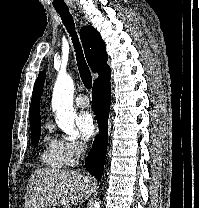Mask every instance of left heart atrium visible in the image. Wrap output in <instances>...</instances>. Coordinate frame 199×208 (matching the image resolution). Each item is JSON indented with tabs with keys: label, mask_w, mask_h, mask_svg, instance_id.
I'll return each instance as SVG.
<instances>
[{
	"label": "left heart atrium",
	"mask_w": 199,
	"mask_h": 208,
	"mask_svg": "<svg viewBox=\"0 0 199 208\" xmlns=\"http://www.w3.org/2000/svg\"><path fill=\"white\" fill-rule=\"evenodd\" d=\"M77 128L84 140H89L95 133L96 124L92 113L81 111L76 118Z\"/></svg>",
	"instance_id": "left-heart-atrium-1"
}]
</instances>
